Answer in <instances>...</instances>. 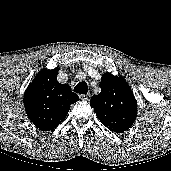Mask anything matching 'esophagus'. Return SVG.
Masks as SVG:
<instances>
[{
	"label": "esophagus",
	"mask_w": 171,
	"mask_h": 171,
	"mask_svg": "<svg viewBox=\"0 0 171 171\" xmlns=\"http://www.w3.org/2000/svg\"><path fill=\"white\" fill-rule=\"evenodd\" d=\"M90 94H80L79 98L83 101H89L90 100Z\"/></svg>",
	"instance_id": "esophagus-1"
}]
</instances>
